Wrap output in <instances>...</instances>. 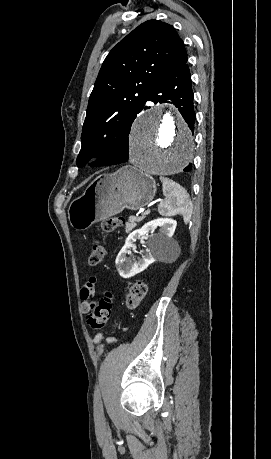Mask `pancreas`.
I'll return each mask as SVG.
<instances>
[{
    "instance_id": "obj_1",
    "label": "pancreas",
    "mask_w": 271,
    "mask_h": 459,
    "mask_svg": "<svg viewBox=\"0 0 271 459\" xmlns=\"http://www.w3.org/2000/svg\"><path fill=\"white\" fill-rule=\"evenodd\" d=\"M145 216H140V218H136V216H129L128 222L125 224V231H131V229L135 228L137 226L136 222H141V220H144Z\"/></svg>"
}]
</instances>
